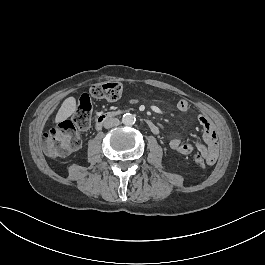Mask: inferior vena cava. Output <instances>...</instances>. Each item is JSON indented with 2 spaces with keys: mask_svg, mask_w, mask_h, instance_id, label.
Wrapping results in <instances>:
<instances>
[{
  "mask_svg": "<svg viewBox=\"0 0 265 265\" xmlns=\"http://www.w3.org/2000/svg\"><path fill=\"white\" fill-rule=\"evenodd\" d=\"M119 123H120V121L118 118L109 117V118L105 119L103 125L106 129H108V128H112L114 126H118Z\"/></svg>",
  "mask_w": 265,
  "mask_h": 265,
  "instance_id": "1",
  "label": "inferior vena cava"
}]
</instances>
